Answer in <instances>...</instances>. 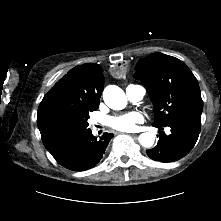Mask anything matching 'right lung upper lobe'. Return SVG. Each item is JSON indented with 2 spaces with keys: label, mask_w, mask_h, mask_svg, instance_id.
Masks as SVG:
<instances>
[{
  "label": "right lung upper lobe",
  "mask_w": 221,
  "mask_h": 221,
  "mask_svg": "<svg viewBox=\"0 0 221 221\" xmlns=\"http://www.w3.org/2000/svg\"><path fill=\"white\" fill-rule=\"evenodd\" d=\"M103 85L102 68L98 64L87 63L71 69L41 101L37 118L39 130L49 116L59 112L95 111Z\"/></svg>",
  "instance_id": "cb5924a9"
}]
</instances>
